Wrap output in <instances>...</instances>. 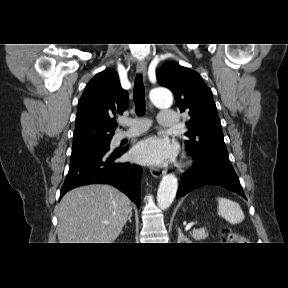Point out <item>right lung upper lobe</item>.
I'll return each instance as SVG.
<instances>
[{"instance_id": "obj_1", "label": "right lung upper lobe", "mask_w": 288, "mask_h": 288, "mask_svg": "<svg viewBox=\"0 0 288 288\" xmlns=\"http://www.w3.org/2000/svg\"><path fill=\"white\" fill-rule=\"evenodd\" d=\"M128 103V93L121 88L113 69L107 68L96 74L78 103L72 149L111 140L116 129L111 115L122 114Z\"/></svg>"}]
</instances>
